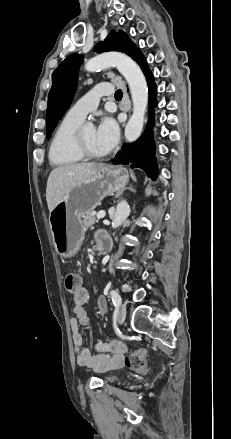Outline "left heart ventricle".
<instances>
[{
    "mask_svg": "<svg viewBox=\"0 0 231 439\" xmlns=\"http://www.w3.org/2000/svg\"><path fill=\"white\" fill-rule=\"evenodd\" d=\"M82 137L84 140L85 145L88 147L89 150H91L94 153L97 154H103V150L100 148V146L96 142L95 138V130L91 127L83 128L82 131Z\"/></svg>",
    "mask_w": 231,
    "mask_h": 439,
    "instance_id": "1",
    "label": "left heart ventricle"
}]
</instances>
